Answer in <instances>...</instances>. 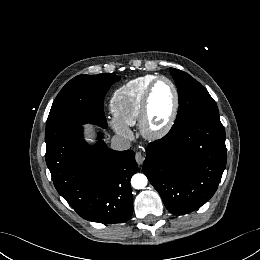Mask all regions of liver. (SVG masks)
Instances as JSON below:
<instances>
[{"label": "liver", "mask_w": 260, "mask_h": 260, "mask_svg": "<svg viewBox=\"0 0 260 260\" xmlns=\"http://www.w3.org/2000/svg\"><path fill=\"white\" fill-rule=\"evenodd\" d=\"M85 127H86V131H87V135L90 136V139H88V140L91 141L92 140V136H93V133H92L93 126L87 124V125H85Z\"/></svg>", "instance_id": "obj_1"}]
</instances>
